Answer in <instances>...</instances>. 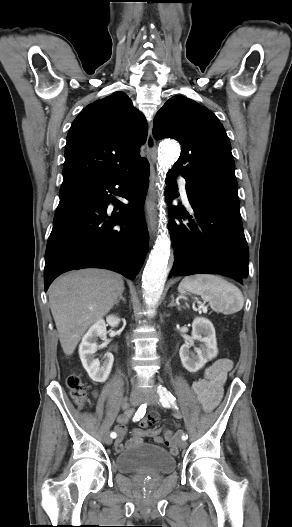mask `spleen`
Listing matches in <instances>:
<instances>
[{"mask_svg":"<svg viewBox=\"0 0 292 527\" xmlns=\"http://www.w3.org/2000/svg\"><path fill=\"white\" fill-rule=\"evenodd\" d=\"M180 294L186 291L200 295L211 308L223 313H235L242 309L244 298L241 291L216 275L199 274L186 276L178 286Z\"/></svg>","mask_w":292,"mask_h":527,"instance_id":"obj_1","label":"spleen"}]
</instances>
